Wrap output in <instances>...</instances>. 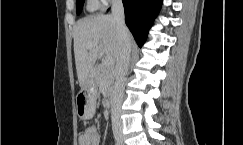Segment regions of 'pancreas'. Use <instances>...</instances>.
<instances>
[{
    "label": "pancreas",
    "mask_w": 243,
    "mask_h": 145,
    "mask_svg": "<svg viewBox=\"0 0 243 145\" xmlns=\"http://www.w3.org/2000/svg\"><path fill=\"white\" fill-rule=\"evenodd\" d=\"M114 64L107 65L105 62L99 64L95 71V80L106 90L111 88L114 81Z\"/></svg>",
    "instance_id": "cf45deb5"
}]
</instances>
